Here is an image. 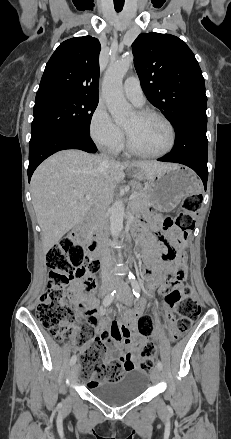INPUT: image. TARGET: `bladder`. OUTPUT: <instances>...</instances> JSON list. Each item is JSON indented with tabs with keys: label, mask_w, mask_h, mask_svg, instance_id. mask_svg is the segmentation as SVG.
Here are the masks:
<instances>
[{
	"label": "bladder",
	"mask_w": 231,
	"mask_h": 439,
	"mask_svg": "<svg viewBox=\"0 0 231 439\" xmlns=\"http://www.w3.org/2000/svg\"><path fill=\"white\" fill-rule=\"evenodd\" d=\"M151 375L144 369H127L117 381L90 386V393L110 406H119L139 398L147 389Z\"/></svg>",
	"instance_id": "31cf9c89"
}]
</instances>
